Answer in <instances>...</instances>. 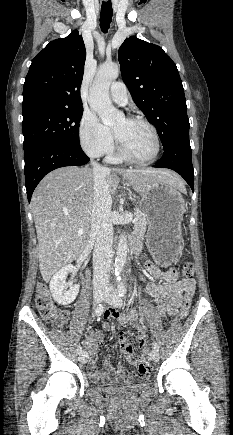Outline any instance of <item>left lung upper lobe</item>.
<instances>
[{
    "label": "left lung upper lobe",
    "instance_id": "obj_1",
    "mask_svg": "<svg viewBox=\"0 0 233 435\" xmlns=\"http://www.w3.org/2000/svg\"><path fill=\"white\" fill-rule=\"evenodd\" d=\"M118 60L124 83L135 104L156 127L164 149L189 138L182 81L164 50L131 36L120 46Z\"/></svg>",
    "mask_w": 233,
    "mask_h": 435
}]
</instances>
